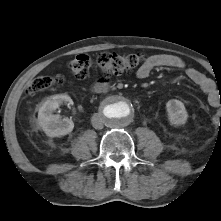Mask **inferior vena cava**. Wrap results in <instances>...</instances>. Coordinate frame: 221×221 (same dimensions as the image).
Returning <instances> with one entry per match:
<instances>
[{
	"label": "inferior vena cava",
	"instance_id": "obj_1",
	"mask_svg": "<svg viewBox=\"0 0 221 221\" xmlns=\"http://www.w3.org/2000/svg\"><path fill=\"white\" fill-rule=\"evenodd\" d=\"M91 123L95 129H102L104 127V118L102 115L95 113L91 118Z\"/></svg>",
	"mask_w": 221,
	"mask_h": 221
}]
</instances>
